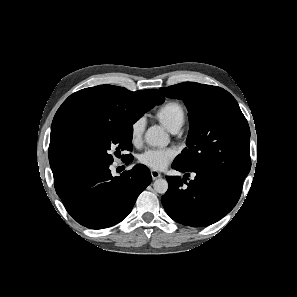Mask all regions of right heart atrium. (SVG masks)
Here are the masks:
<instances>
[{"label": "right heart atrium", "instance_id": "right-heart-atrium-1", "mask_svg": "<svg viewBox=\"0 0 297 297\" xmlns=\"http://www.w3.org/2000/svg\"><path fill=\"white\" fill-rule=\"evenodd\" d=\"M145 128L146 119L144 117H138L131 123L129 133L132 144L139 145L142 142Z\"/></svg>", "mask_w": 297, "mask_h": 297}]
</instances>
